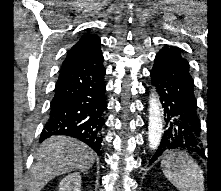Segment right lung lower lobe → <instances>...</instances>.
Returning a JSON list of instances; mask_svg holds the SVG:
<instances>
[{"instance_id": "obj_1", "label": "right lung lower lobe", "mask_w": 221, "mask_h": 191, "mask_svg": "<svg viewBox=\"0 0 221 191\" xmlns=\"http://www.w3.org/2000/svg\"><path fill=\"white\" fill-rule=\"evenodd\" d=\"M105 72L102 55L62 66L40 142L53 135H68L100 154L107 108Z\"/></svg>"}]
</instances>
